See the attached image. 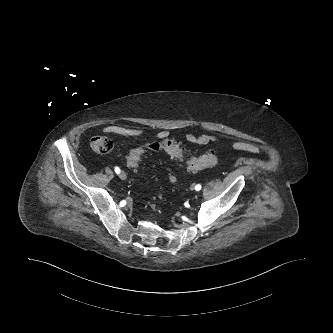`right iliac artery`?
I'll return each instance as SVG.
<instances>
[{
    "mask_svg": "<svg viewBox=\"0 0 333 333\" xmlns=\"http://www.w3.org/2000/svg\"><path fill=\"white\" fill-rule=\"evenodd\" d=\"M115 172H116L117 174L120 173V169H119V167H115Z\"/></svg>",
    "mask_w": 333,
    "mask_h": 333,
    "instance_id": "right-iliac-artery-1",
    "label": "right iliac artery"
}]
</instances>
